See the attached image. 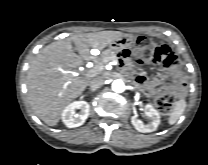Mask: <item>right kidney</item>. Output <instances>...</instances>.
Here are the masks:
<instances>
[{
  "label": "right kidney",
  "instance_id": "right-kidney-1",
  "mask_svg": "<svg viewBox=\"0 0 208 165\" xmlns=\"http://www.w3.org/2000/svg\"><path fill=\"white\" fill-rule=\"evenodd\" d=\"M80 109V113L76 110ZM90 105L86 101H74L62 112V121L68 128H75L83 125L89 116Z\"/></svg>",
  "mask_w": 208,
  "mask_h": 165
}]
</instances>
